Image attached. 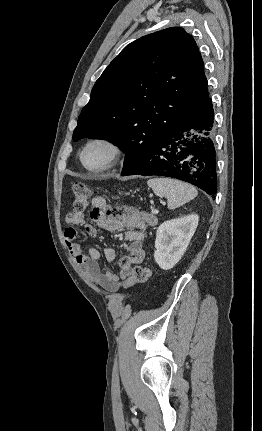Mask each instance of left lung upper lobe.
Instances as JSON below:
<instances>
[{
  "label": "left lung upper lobe",
  "instance_id": "1",
  "mask_svg": "<svg viewBox=\"0 0 262 431\" xmlns=\"http://www.w3.org/2000/svg\"><path fill=\"white\" fill-rule=\"evenodd\" d=\"M208 97L194 39L180 27L167 28L130 43L104 70L73 141H111L126 152L125 174Z\"/></svg>",
  "mask_w": 262,
  "mask_h": 431
}]
</instances>
